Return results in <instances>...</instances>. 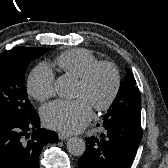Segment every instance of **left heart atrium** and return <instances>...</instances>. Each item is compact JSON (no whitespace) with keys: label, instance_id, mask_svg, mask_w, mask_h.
<instances>
[{"label":"left heart atrium","instance_id":"1","mask_svg":"<svg viewBox=\"0 0 168 168\" xmlns=\"http://www.w3.org/2000/svg\"><path fill=\"white\" fill-rule=\"evenodd\" d=\"M42 118L45 125L51 129L75 133L90 122L92 108L83 97L75 100H57L44 107Z\"/></svg>","mask_w":168,"mask_h":168}]
</instances>
